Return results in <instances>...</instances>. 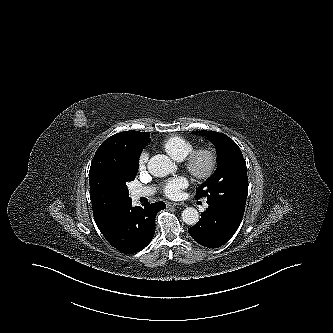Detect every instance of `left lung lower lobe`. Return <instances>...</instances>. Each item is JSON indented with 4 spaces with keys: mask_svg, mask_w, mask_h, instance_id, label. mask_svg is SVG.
<instances>
[{
    "mask_svg": "<svg viewBox=\"0 0 333 333\" xmlns=\"http://www.w3.org/2000/svg\"><path fill=\"white\" fill-rule=\"evenodd\" d=\"M207 203L209 207L201 213V219L188 231L197 243L217 248L227 243L235 234L244 211L213 200H207Z\"/></svg>",
    "mask_w": 333,
    "mask_h": 333,
    "instance_id": "obj_1",
    "label": "left lung lower lobe"
}]
</instances>
